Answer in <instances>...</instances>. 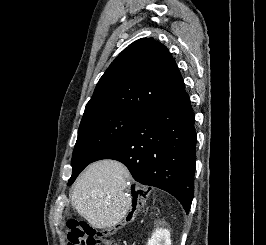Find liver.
<instances>
[{"mask_svg":"<svg viewBox=\"0 0 266 245\" xmlns=\"http://www.w3.org/2000/svg\"><path fill=\"white\" fill-rule=\"evenodd\" d=\"M130 173L118 161H97L78 177L72 203L79 215L94 229H109L121 223L128 213L126 193Z\"/></svg>","mask_w":266,"mask_h":245,"instance_id":"1","label":"liver"}]
</instances>
